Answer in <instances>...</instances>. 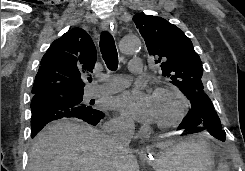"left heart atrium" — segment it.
Here are the masks:
<instances>
[{"mask_svg": "<svg viewBox=\"0 0 245 171\" xmlns=\"http://www.w3.org/2000/svg\"><path fill=\"white\" fill-rule=\"evenodd\" d=\"M113 107L132 120L142 123H152L157 120L154 97L137 87L124 91L112 101Z\"/></svg>", "mask_w": 245, "mask_h": 171, "instance_id": "39dd6f15", "label": "left heart atrium"}]
</instances>
